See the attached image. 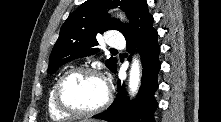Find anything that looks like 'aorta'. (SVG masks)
<instances>
[{
  "instance_id": "762f6f07",
  "label": "aorta",
  "mask_w": 221,
  "mask_h": 122,
  "mask_svg": "<svg viewBox=\"0 0 221 122\" xmlns=\"http://www.w3.org/2000/svg\"><path fill=\"white\" fill-rule=\"evenodd\" d=\"M141 80V70L139 60L133 59L129 73V92L131 96H135L139 89Z\"/></svg>"
}]
</instances>
